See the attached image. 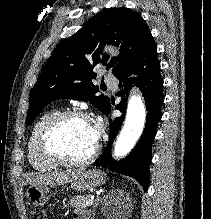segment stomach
<instances>
[{
	"label": "stomach",
	"instance_id": "stomach-1",
	"mask_svg": "<svg viewBox=\"0 0 211 219\" xmlns=\"http://www.w3.org/2000/svg\"><path fill=\"white\" fill-rule=\"evenodd\" d=\"M105 182V174L99 170L83 169L79 176L71 182V188L86 191L101 186ZM28 200L36 207H43L51 197V190L44 185H31L26 192Z\"/></svg>",
	"mask_w": 211,
	"mask_h": 219
}]
</instances>
